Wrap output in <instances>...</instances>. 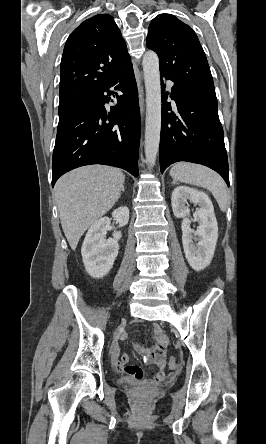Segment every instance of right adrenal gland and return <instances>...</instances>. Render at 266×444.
<instances>
[{
  "label": "right adrenal gland",
  "instance_id": "right-adrenal-gland-1",
  "mask_svg": "<svg viewBox=\"0 0 266 444\" xmlns=\"http://www.w3.org/2000/svg\"><path fill=\"white\" fill-rule=\"evenodd\" d=\"M122 192H125V188H124V186L122 187Z\"/></svg>",
  "mask_w": 266,
  "mask_h": 444
}]
</instances>
